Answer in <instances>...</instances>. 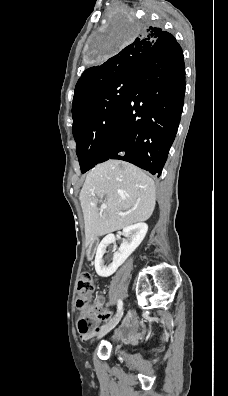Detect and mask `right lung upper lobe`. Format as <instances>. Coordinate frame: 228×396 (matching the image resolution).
I'll return each instance as SVG.
<instances>
[{
	"label": "right lung upper lobe",
	"instance_id": "1",
	"mask_svg": "<svg viewBox=\"0 0 228 396\" xmlns=\"http://www.w3.org/2000/svg\"><path fill=\"white\" fill-rule=\"evenodd\" d=\"M176 39L161 28L145 27L141 33L118 54L99 66L86 69L74 92L72 116L76 117L83 105L100 89L116 78L134 75L142 59L154 49L168 50Z\"/></svg>",
	"mask_w": 228,
	"mask_h": 396
}]
</instances>
